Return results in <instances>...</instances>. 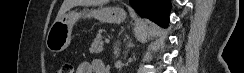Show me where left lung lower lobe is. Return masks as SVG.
Instances as JSON below:
<instances>
[{
    "mask_svg": "<svg viewBox=\"0 0 244 73\" xmlns=\"http://www.w3.org/2000/svg\"><path fill=\"white\" fill-rule=\"evenodd\" d=\"M137 13L155 21L162 27H167L169 17L168 0H130Z\"/></svg>",
    "mask_w": 244,
    "mask_h": 73,
    "instance_id": "1",
    "label": "left lung lower lobe"
}]
</instances>
